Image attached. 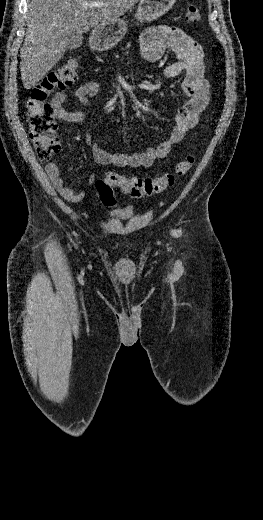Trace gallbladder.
I'll use <instances>...</instances> for the list:
<instances>
[{"mask_svg": "<svg viewBox=\"0 0 263 520\" xmlns=\"http://www.w3.org/2000/svg\"><path fill=\"white\" fill-rule=\"evenodd\" d=\"M68 40V49L73 50L77 49L81 46L83 36L82 34H78L76 32L71 31L70 34L67 36Z\"/></svg>", "mask_w": 263, "mask_h": 520, "instance_id": "1", "label": "gallbladder"}]
</instances>
